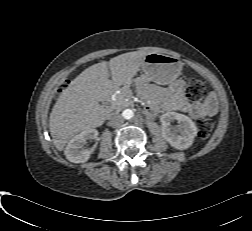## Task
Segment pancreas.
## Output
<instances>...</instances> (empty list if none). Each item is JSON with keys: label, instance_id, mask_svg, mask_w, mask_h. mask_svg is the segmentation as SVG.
<instances>
[{"label": "pancreas", "instance_id": "pancreas-1", "mask_svg": "<svg viewBox=\"0 0 252 231\" xmlns=\"http://www.w3.org/2000/svg\"><path fill=\"white\" fill-rule=\"evenodd\" d=\"M118 107H124L127 106L128 103V97L125 94H122L118 97L117 102H116Z\"/></svg>", "mask_w": 252, "mask_h": 231}]
</instances>
